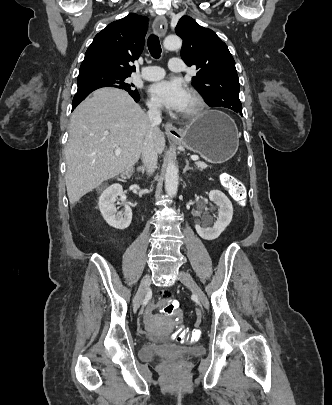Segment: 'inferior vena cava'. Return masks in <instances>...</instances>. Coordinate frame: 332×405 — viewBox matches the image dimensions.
Returning a JSON list of instances; mask_svg holds the SVG:
<instances>
[{"label":"inferior vena cava","mask_w":332,"mask_h":405,"mask_svg":"<svg viewBox=\"0 0 332 405\" xmlns=\"http://www.w3.org/2000/svg\"><path fill=\"white\" fill-rule=\"evenodd\" d=\"M148 121L150 131L147 134L142 147V162L148 174L155 171L157 167V151L153 140V130L161 123V105L157 101L148 103Z\"/></svg>","instance_id":"602c4592"}]
</instances>
